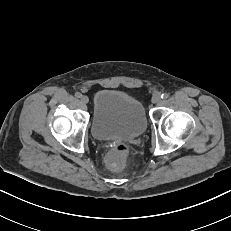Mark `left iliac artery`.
Listing matches in <instances>:
<instances>
[{"mask_svg":"<svg viewBox=\"0 0 231 231\" xmlns=\"http://www.w3.org/2000/svg\"><path fill=\"white\" fill-rule=\"evenodd\" d=\"M169 97V94L168 93H163L162 95H161V98L162 99H166V98H168Z\"/></svg>","mask_w":231,"mask_h":231,"instance_id":"1","label":"left iliac artery"}]
</instances>
